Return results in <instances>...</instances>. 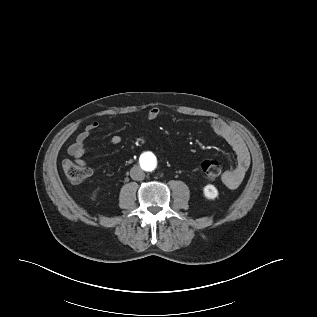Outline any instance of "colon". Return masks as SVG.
<instances>
[{"mask_svg":"<svg viewBox=\"0 0 317 317\" xmlns=\"http://www.w3.org/2000/svg\"><path fill=\"white\" fill-rule=\"evenodd\" d=\"M66 178L71 183H81L91 175V169L85 164H79L70 160L63 163ZM201 171L208 180H214L223 173V164L220 160H205L201 164Z\"/></svg>","mask_w":317,"mask_h":317,"instance_id":"1","label":"colon"}]
</instances>
